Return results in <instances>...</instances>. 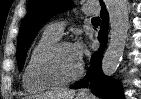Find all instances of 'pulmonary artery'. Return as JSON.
<instances>
[{
  "mask_svg": "<svg viewBox=\"0 0 141 99\" xmlns=\"http://www.w3.org/2000/svg\"><path fill=\"white\" fill-rule=\"evenodd\" d=\"M83 12L86 15L97 13V8L93 4H87L83 7ZM64 28L63 22H54L47 25L45 32L55 38H59Z\"/></svg>",
  "mask_w": 141,
  "mask_h": 99,
  "instance_id": "1",
  "label": "pulmonary artery"
}]
</instances>
